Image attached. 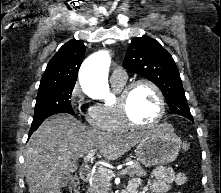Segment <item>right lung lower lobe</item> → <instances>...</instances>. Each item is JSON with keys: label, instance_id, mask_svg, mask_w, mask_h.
I'll return each instance as SVG.
<instances>
[{"label": "right lung lower lobe", "instance_id": "obj_1", "mask_svg": "<svg viewBox=\"0 0 221 193\" xmlns=\"http://www.w3.org/2000/svg\"><path fill=\"white\" fill-rule=\"evenodd\" d=\"M49 117V116H47ZM47 117H44V118H41L37 121H33L32 122V125H31V129L29 131V134H28V138L31 136V134L40 126V124L47 118Z\"/></svg>", "mask_w": 221, "mask_h": 193}]
</instances>
